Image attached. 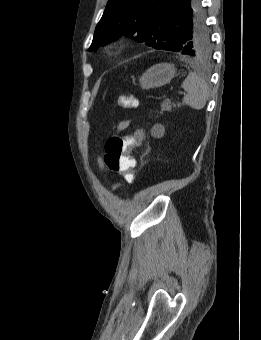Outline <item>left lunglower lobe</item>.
<instances>
[{"instance_id":"0a47b994","label":"left lung lower lobe","mask_w":261,"mask_h":340,"mask_svg":"<svg viewBox=\"0 0 261 340\" xmlns=\"http://www.w3.org/2000/svg\"><path fill=\"white\" fill-rule=\"evenodd\" d=\"M197 5H201V0H165L160 13L166 20H176L181 15L192 17Z\"/></svg>"}]
</instances>
